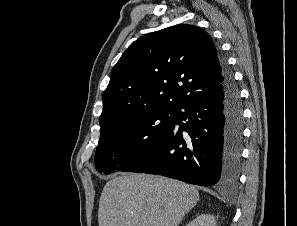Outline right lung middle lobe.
I'll list each match as a JSON object with an SVG mask.
<instances>
[{
    "label": "right lung middle lobe",
    "mask_w": 297,
    "mask_h": 226,
    "mask_svg": "<svg viewBox=\"0 0 297 226\" xmlns=\"http://www.w3.org/2000/svg\"><path fill=\"white\" fill-rule=\"evenodd\" d=\"M176 118V110H156L102 129L95 155L96 168L105 174L121 170L167 133Z\"/></svg>",
    "instance_id": "dd1d6c3e"
}]
</instances>
